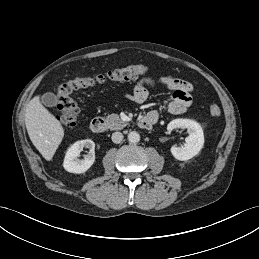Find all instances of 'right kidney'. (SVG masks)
Wrapping results in <instances>:
<instances>
[{"label": "right kidney", "instance_id": "1", "mask_svg": "<svg viewBox=\"0 0 259 259\" xmlns=\"http://www.w3.org/2000/svg\"><path fill=\"white\" fill-rule=\"evenodd\" d=\"M83 148H88L89 152L83 160L78 159ZM95 161V143L91 139L75 142L67 150L63 162V167L70 173H85Z\"/></svg>", "mask_w": 259, "mask_h": 259}]
</instances>
